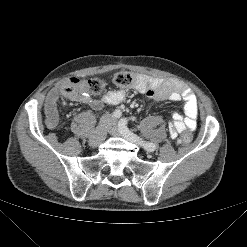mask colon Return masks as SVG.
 Wrapping results in <instances>:
<instances>
[{
	"label": "colon",
	"instance_id": "obj_1",
	"mask_svg": "<svg viewBox=\"0 0 247 247\" xmlns=\"http://www.w3.org/2000/svg\"><path fill=\"white\" fill-rule=\"evenodd\" d=\"M140 76L131 72H118L113 76V82L120 87H132L139 82ZM105 87V82L101 79H89L86 82L80 83L78 80L73 79L72 84L62 87V93L69 99H77L86 92L92 94H99ZM192 141V133L190 130L184 131L178 143L181 145L189 144Z\"/></svg>",
	"mask_w": 247,
	"mask_h": 247
}]
</instances>
